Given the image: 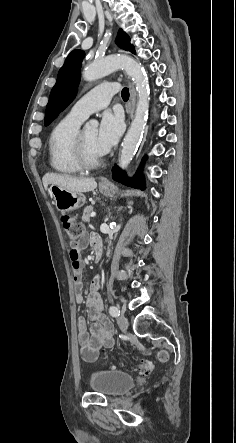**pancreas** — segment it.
<instances>
[{
  "mask_svg": "<svg viewBox=\"0 0 236 443\" xmlns=\"http://www.w3.org/2000/svg\"><path fill=\"white\" fill-rule=\"evenodd\" d=\"M93 211V207L92 206H87L84 208L83 210V215H82V221L83 222H90V214Z\"/></svg>",
  "mask_w": 236,
  "mask_h": 443,
  "instance_id": "pancreas-1",
  "label": "pancreas"
}]
</instances>
